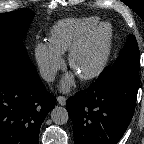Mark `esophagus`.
Masks as SVG:
<instances>
[{"mask_svg": "<svg viewBox=\"0 0 144 144\" xmlns=\"http://www.w3.org/2000/svg\"><path fill=\"white\" fill-rule=\"evenodd\" d=\"M57 101L62 106L66 105V97H64V96H58Z\"/></svg>", "mask_w": 144, "mask_h": 144, "instance_id": "1", "label": "esophagus"}]
</instances>
